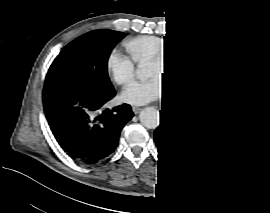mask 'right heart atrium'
Segmentation results:
<instances>
[{
  "label": "right heart atrium",
  "mask_w": 270,
  "mask_h": 213,
  "mask_svg": "<svg viewBox=\"0 0 270 213\" xmlns=\"http://www.w3.org/2000/svg\"><path fill=\"white\" fill-rule=\"evenodd\" d=\"M110 67L112 69L115 80L119 84L129 83L135 76V65L134 63L120 55H113L110 61Z\"/></svg>",
  "instance_id": "right-heart-atrium-1"
}]
</instances>
